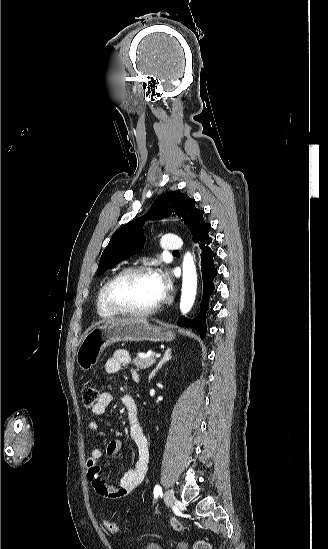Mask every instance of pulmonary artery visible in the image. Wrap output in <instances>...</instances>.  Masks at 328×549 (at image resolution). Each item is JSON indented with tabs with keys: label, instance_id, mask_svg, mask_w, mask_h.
I'll list each match as a JSON object with an SVG mask.
<instances>
[{
	"label": "pulmonary artery",
	"instance_id": "obj_1",
	"mask_svg": "<svg viewBox=\"0 0 328 549\" xmlns=\"http://www.w3.org/2000/svg\"><path fill=\"white\" fill-rule=\"evenodd\" d=\"M182 248V245L178 242L176 237H165L159 244L161 252H178Z\"/></svg>",
	"mask_w": 328,
	"mask_h": 549
}]
</instances>
